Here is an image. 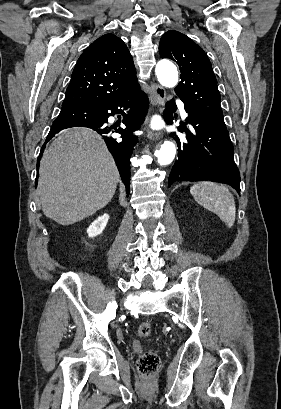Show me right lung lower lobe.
I'll return each instance as SVG.
<instances>
[{
	"label": "right lung lower lobe",
	"mask_w": 281,
	"mask_h": 409,
	"mask_svg": "<svg viewBox=\"0 0 281 409\" xmlns=\"http://www.w3.org/2000/svg\"><path fill=\"white\" fill-rule=\"evenodd\" d=\"M148 103L149 100L147 95L141 91L139 87L126 96L98 104L62 106L59 116L84 117L86 122L78 126H52L45 144L62 129L70 127H88L95 130L102 135L109 151L114 156L120 176L126 186V192L129 194L130 156L133 151L134 143L136 142V137L132 135V132L142 123L148 108ZM119 107L124 109L129 107L131 111L128 115H125ZM116 113L124 115L123 127L108 125V117L113 116ZM115 133H119L121 136L116 137ZM45 144L42 147L40 155L45 148Z\"/></svg>",
	"instance_id": "98d812e1"
}]
</instances>
